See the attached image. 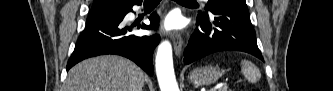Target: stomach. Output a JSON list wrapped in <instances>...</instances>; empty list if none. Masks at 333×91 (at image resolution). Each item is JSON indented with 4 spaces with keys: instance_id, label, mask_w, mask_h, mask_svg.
<instances>
[{
    "instance_id": "1",
    "label": "stomach",
    "mask_w": 333,
    "mask_h": 91,
    "mask_svg": "<svg viewBox=\"0 0 333 91\" xmlns=\"http://www.w3.org/2000/svg\"><path fill=\"white\" fill-rule=\"evenodd\" d=\"M221 77V72L213 66H203L195 68L190 76L189 81L195 86H204L215 83Z\"/></svg>"
}]
</instances>
